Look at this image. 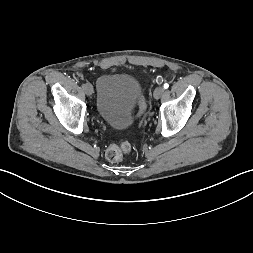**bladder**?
<instances>
[{
	"label": "bladder",
	"instance_id": "bladder-1",
	"mask_svg": "<svg viewBox=\"0 0 253 253\" xmlns=\"http://www.w3.org/2000/svg\"><path fill=\"white\" fill-rule=\"evenodd\" d=\"M140 95L141 87L137 78L127 74H104L97 81V112L110 126L127 128Z\"/></svg>",
	"mask_w": 253,
	"mask_h": 253
}]
</instances>
